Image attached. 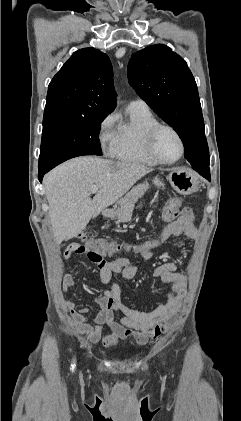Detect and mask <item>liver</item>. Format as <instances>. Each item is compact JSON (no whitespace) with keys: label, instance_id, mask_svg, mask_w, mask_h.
Instances as JSON below:
<instances>
[{"label":"liver","instance_id":"obj_1","mask_svg":"<svg viewBox=\"0 0 241 421\" xmlns=\"http://www.w3.org/2000/svg\"><path fill=\"white\" fill-rule=\"evenodd\" d=\"M152 170L138 163L93 156L76 157L51 170L43 184L56 243L76 237L91 218L97 217ZM93 185L99 189L91 199Z\"/></svg>","mask_w":241,"mask_h":421}]
</instances>
